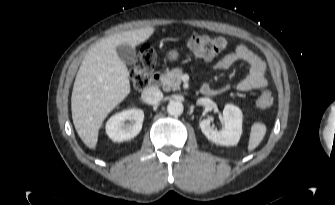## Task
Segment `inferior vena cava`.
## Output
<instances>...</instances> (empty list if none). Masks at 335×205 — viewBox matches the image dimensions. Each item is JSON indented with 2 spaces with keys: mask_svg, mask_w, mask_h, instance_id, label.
I'll list each match as a JSON object with an SVG mask.
<instances>
[{
  "mask_svg": "<svg viewBox=\"0 0 335 205\" xmlns=\"http://www.w3.org/2000/svg\"><path fill=\"white\" fill-rule=\"evenodd\" d=\"M163 99V93L157 87H148L142 92V100L147 104H157Z\"/></svg>",
  "mask_w": 335,
  "mask_h": 205,
  "instance_id": "inferior-vena-cava-1",
  "label": "inferior vena cava"
}]
</instances>
